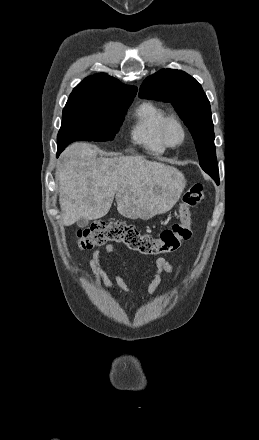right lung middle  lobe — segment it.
Returning <instances> with one entry per match:
<instances>
[{
	"mask_svg": "<svg viewBox=\"0 0 259 440\" xmlns=\"http://www.w3.org/2000/svg\"><path fill=\"white\" fill-rule=\"evenodd\" d=\"M132 101L133 98H129L110 106L67 102L63 109L57 145L65 148L73 141L112 140Z\"/></svg>",
	"mask_w": 259,
	"mask_h": 440,
	"instance_id": "1",
	"label": "right lung middle lobe"
}]
</instances>
